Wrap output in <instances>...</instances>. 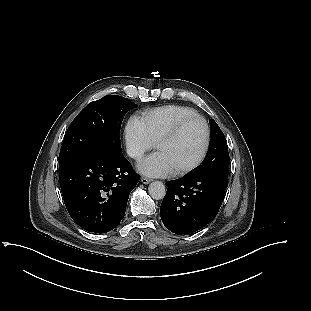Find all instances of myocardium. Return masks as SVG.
<instances>
[{
	"mask_svg": "<svg viewBox=\"0 0 311 311\" xmlns=\"http://www.w3.org/2000/svg\"><path fill=\"white\" fill-rule=\"evenodd\" d=\"M193 121H199L203 125V128H204L203 146L201 148L200 153L198 154V156L195 158L194 161H192L186 166H183L173 171V174L175 176L184 175L194 170L202 163V161L206 157V154L208 152L209 145H210V128H209V125L206 119L200 115H192V116L182 118L179 121H177L172 127H170L168 130L162 133L155 143V146H157L160 142H164V141H168V140H172L176 138L179 135V133L183 130V128Z\"/></svg>",
	"mask_w": 311,
	"mask_h": 311,
	"instance_id": "obj_1",
	"label": "myocardium"
}]
</instances>
